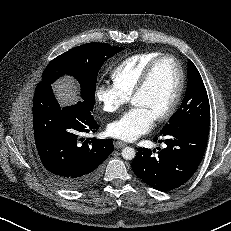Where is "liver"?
Here are the masks:
<instances>
[{
	"instance_id": "obj_1",
	"label": "liver",
	"mask_w": 231,
	"mask_h": 231,
	"mask_svg": "<svg viewBox=\"0 0 231 231\" xmlns=\"http://www.w3.org/2000/svg\"><path fill=\"white\" fill-rule=\"evenodd\" d=\"M54 91L61 105H69L80 100L71 78H64L56 83Z\"/></svg>"
}]
</instances>
